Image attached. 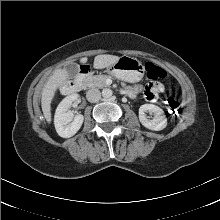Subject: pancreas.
Returning <instances> with one entry per match:
<instances>
[{"label": "pancreas", "mask_w": 220, "mask_h": 220, "mask_svg": "<svg viewBox=\"0 0 220 220\" xmlns=\"http://www.w3.org/2000/svg\"><path fill=\"white\" fill-rule=\"evenodd\" d=\"M112 77L110 75H103V74H99V75H94V76H88L85 80H84V84L89 87V88H104L107 86L106 84V79ZM122 86H126L125 83H122Z\"/></svg>", "instance_id": "obj_1"}]
</instances>
